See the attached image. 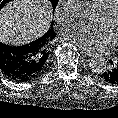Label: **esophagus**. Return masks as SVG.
<instances>
[{"label": "esophagus", "mask_w": 118, "mask_h": 118, "mask_svg": "<svg viewBox=\"0 0 118 118\" xmlns=\"http://www.w3.org/2000/svg\"><path fill=\"white\" fill-rule=\"evenodd\" d=\"M82 52H83L85 55L89 56V57H92V56L95 55L94 52L89 51V50H86V49H82Z\"/></svg>", "instance_id": "esophagus-1"}]
</instances>
